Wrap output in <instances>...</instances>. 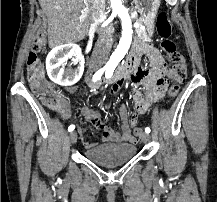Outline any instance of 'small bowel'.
Instances as JSON below:
<instances>
[{
  "instance_id": "c3829d8e",
  "label": "small bowel",
  "mask_w": 217,
  "mask_h": 202,
  "mask_svg": "<svg viewBox=\"0 0 217 202\" xmlns=\"http://www.w3.org/2000/svg\"><path fill=\"white\" fill-rule=\"evenodd\" d=\"M136 51L140 56L146 53L152 59V68L144 69L137 68L129 79L117 78L110 87V94H116L125 85L144 84L149 88V95H163L165 91V82L160 77L163 70V59L160 54L149 42L135 43ZM131 98L134 105V113L129 118V110L126 104L119 107V117L121 120V128L115 131L105 125L100 118V111L90 106H83L80 109L81 115L88 120L94 127L102 130L101 140L103 143H118V144H135L138 141L143 131L132 132L131 128L136 126L139 114H144L148 106H152V101H145L138 90H133ZM64 103L63 109L60 111L62 118L73 117V111L65 100H60ZM84 130H80V138L83 141L85 148L89 149L95 146V143H89L83 138Z\"/></svg>"
}]
</instances>
